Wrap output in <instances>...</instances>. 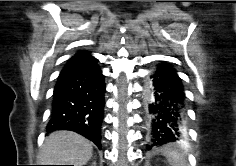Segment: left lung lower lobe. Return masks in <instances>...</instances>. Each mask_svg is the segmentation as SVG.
Returning a JSON list of instances; mask_svg holds the SVG:
<instances>
[{
	"mask_svg": "<svg viewBox=\"0 0 236 166\" xmlns=\"http://www.w3.org/2000/svg\"><path fill=\"white\" fill-rule=\"evenodd\" d=\"M151 79L148 150L182 140L186 133V97L176 71L169 65H161Z\"/></svg>",
	"mask_w": 236,
	"mask_h": 166,
	"instance_id": "0a47b994",
	"label": "left lung lower lobe"
}]
</instances>
